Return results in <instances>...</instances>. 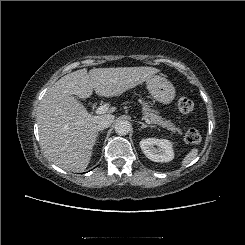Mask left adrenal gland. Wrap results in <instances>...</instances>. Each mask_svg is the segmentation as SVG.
Listing matches in <instances>:
<instances>
[{
    "instance_id": "left-adrenal-gland-1",
    "label": "left adrenal gland",
    "mask_w": 245,
    "mask_h": 245,
    "mask_svg": "<svg viewBox=\"0 0 245 245\" xmlns=\"http://www.w3.org/2000/svg\"><path fill=\"white\" fill-rule=\"evenodd\" d=\"M138 123L141 124V128H142V129H143V128H147V127H151V128L154 127V126H152V125H146V124H144V123L141 122V121H138Z\"/></svg>"
}]
</instances>
